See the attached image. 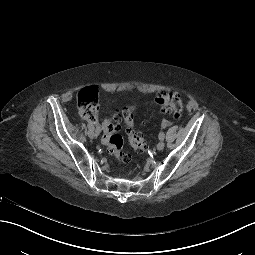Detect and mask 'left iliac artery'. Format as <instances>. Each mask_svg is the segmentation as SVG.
<instances>
[{"label": "left iliac artery", "mask_w": 255, "mask_h": 255, "mask_svg": "<svg viewBox=\"0 0 255 255\" xmlns=\"http://www.w3.org/2000/svg\"><path fill=\"white\" fill-rule=\"evenodd\" d=\"M158 137H159V140H163L164 137H165V133L164 132H160Z\"/></svg>", "instance_id": "44dca946"}]
</instances>
